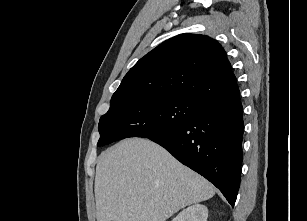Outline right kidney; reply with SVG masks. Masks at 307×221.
Returning <instances> with one entry per match:
<instances>
[{"mask_svg": "<svg viewBox=\"0 0 307 221\" xmlns=\"http://www.w3.org/2000/svg\"><path fill=\"white\" fill-rule=\"evenodd\" d=\"M207 218V207L202 204H194L182 210L172 221H207Z\"/></svg>", "mask_w": 307, "mask_h": 221, "instance_id": "right-kidney-1", "label": "right kidney"}]
</instances>
